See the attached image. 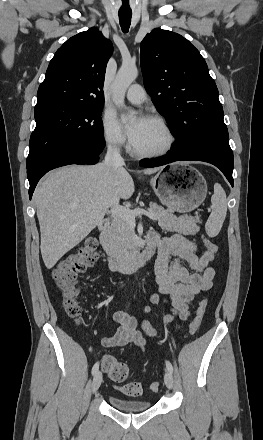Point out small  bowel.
Listing matches in <instances>:
<instances>
[{"instance_id": "c3829d8e", "label": "small bowel", "mask_w": 263, "mask_h": 440, "mask_svg": "<svg viewBox=\"0 0 263 440\" xmlns=\"http://www.w3.org/2000/svg\"><path fill=\"white\" fill-rule=\"evenodd\" d=\"M147 238H151L158 247L155 277L159 293L152 295L150 303L144 307L141 327L148 336L158 338L157 331L145 319V315L162 297L165 302L170 303L171 308L163 319L165 326H169L176 318L186 320L195 296L212 287L215 270L209 264L213 261L214 254L206 251L199 256L195 243L178 234L161 237L157 232H151ZM112 319L119 327L112 336L101 339L100 344L103 347L135 345L145 349L146 342L142 333L136 330L135 317L123 311H115Z\"/></svg>"}]
</instances>
